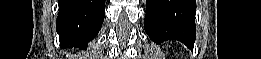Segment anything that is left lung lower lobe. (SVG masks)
I'll return each instance as SVG.
<instances>
[{
	"label": "left lung lower lobe",
	"instance_id": "left-lung-lower-lobe-1",
	"mask_svg": "<svg viewBox=\"0 0 261 59\" xmlns=\"http://www.w3.org/2000/svg\"><path fill=\"white\" fill-rule=\"evenodd\" d=\"M195 12V0H146L145 31L157 44L178 40L192 49Z\"/></svg>",
	"mask_w": 261,
	"mask_h": 59
}]
</instances>
